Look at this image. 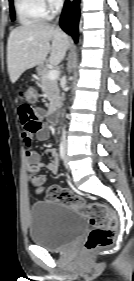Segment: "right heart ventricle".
Here are the masks:
<instances>
[{
  "label": "right heart ventricle",
  "mask_w": 134,
  "mask_h": 281,
  "mask_svg": "<svg viewBox=\"0 0 134 281\" xmlns=\"http://www.w3.org/2000/svg\"><path fill=\"white\" fill-rule=\"evenodd\" d=\"M18 18L23 24H33L44 20L48 11L42 0H15Z\"/></svg>",
  "instance_id": "obj_1"
}]
</instances>
